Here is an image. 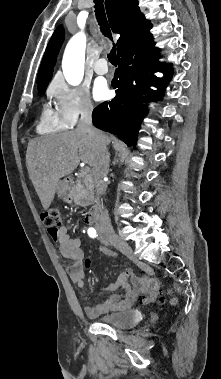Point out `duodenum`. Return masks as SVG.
Listing matches in <instances>:
<instances>
[{
    "mask_svg": "<svg viewBox=\"0 0 221 379\" xmlns=\"http://www.w3.org/2000/svg\"><path fill=\"white\" fill-rule=\"evenodd\" d=\"M101 214L100 203H94L85 215V221L89 224H93L98 221Z\"/></svg>",
    "mask_w": 221,
    "mask_h": 379,
    "instance_id": "1",
    "label": "duodenum"
}]
</instances>
